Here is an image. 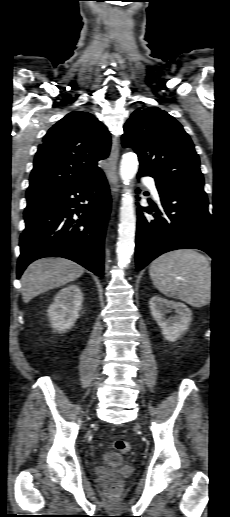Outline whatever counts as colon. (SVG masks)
Masks as SVG:
<instances>
[{
	"label": "colon",
	"mask_w": 230,
	"mask_h": 517,
	"mask_svg": "<svg viewBox=\"0 0 230 517\" xmlns=\"http://www.w3.org/2000/svg\"><path fill=\"white\" fill-rule=\"evenodd\" d=\"M114 447L121 452H128L131 449L130 444L125 440H116ZM120 484L117 482L108 483L105 488L106 497L109 499H116L120 493Z\"/></svg>",
	"instance_id": "5ec220e1"
}]
</instances>
